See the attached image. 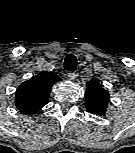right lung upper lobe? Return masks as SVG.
Returning a JSON list of instances; mask_svg holds the SVG:
<instances>
[{"label": "right lung upper lobe", "instance_id": "obj_1", "mask_svg": "<svg viewBox=\"0 0 135 153\" xmlns=\"http://www.w3.org/2000/svg\"><path fill=\"white\" fill-rule=\"evenodd\" d=\"M61 81L54 72L42 71L31 79L23 82L16 91V105L19 111L33 115L48 103L52 86Z\"/></svg>", "mask_w": 135, "mask_h": 153}]
</instances>
